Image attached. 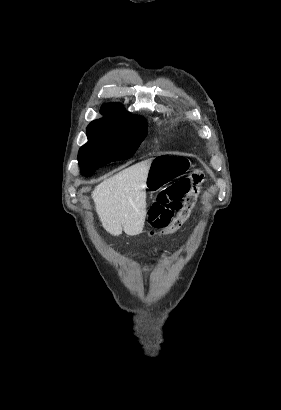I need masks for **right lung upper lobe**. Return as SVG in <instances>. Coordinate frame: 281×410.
I'll list each match as a JSON object with an SVG mask.
<instances>
[{
  "label": "right lung upper lobe",
  "instance_id": "obj_1",
  "mask_svg": "<svg viewBox=\"0 0 281 410\" xmlns=\"http://www.w3.org/2000/svg\"><path fill=\"white\" fill-rule=\"evenodd\" d=\"M100 112L104 117L97 121L128 123L141 119L139 116L126 112L123 106L119 103L104 104L101 106Z\"/></svg>",
  "mask_w": 281,
  "mask_h": 410
}]
</instances>
